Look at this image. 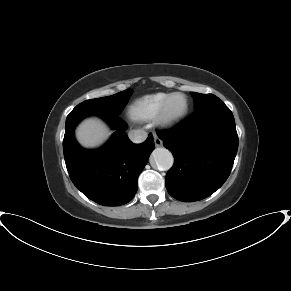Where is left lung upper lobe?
<instances>
[{
  "instance_id": "5c2ea615",
  "label": "left lung upper lobe",
  "mask_w": 291,
  "mask_h": 291,
  "mask_svg": "<svg viewBox=\"0 0 291 291\" xmlns=\"http://www.w3.org/2000/svg\"><path fill=\"white\" fill-rule=\"evenodd\" d=\"M191 95L194 99L195 112L205 109L217 102H221V100L213 94H200L191 92Z\"/></svg>"
}]
</instances>
